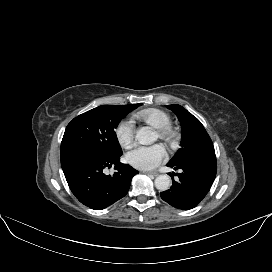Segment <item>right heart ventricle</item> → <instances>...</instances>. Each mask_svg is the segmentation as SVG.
Masks as SVG:
<instances>
[{
  "label": "right heart ventricle",
  "mask_w": 272,
  "mask_h": 272,
  "mask_svg": "<svg viewBox=\"0 0 272 272\" xmlns=\"http://www.w3.org/2000/svg\"><path fill=\"white\" fill-rule=\"evenodd\" d=\"M134 117L155 129H159L171 124L170 115L157 108H146L134 114Z\"/></svg>",
  "instance_id": "right-heart-ventricle-1"
}]
</instances>
